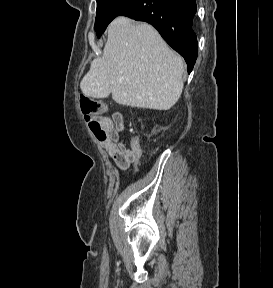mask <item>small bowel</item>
Instances as JSON below:
<instances>
[{"label": "small bowel", "mask_w": 273, "mask_h": 288, "mask_svg": "<svg viewBox=\"0 0 273 288\" xmlns=\"http://www.w3.org/2000/svg\"><path fill=\"white\" fill-rule=\"evenodd\" d=\"M99 122L106 133V137L99 139L103 148L115 161L120 169H128L131 165H137L141 158V147L137 141L127 148L119 141L120 133L124 128V120L120 113H114L111 117L103 116Z\"/></svg>", "instance_id": "c3829d8e"}]
</instances>
